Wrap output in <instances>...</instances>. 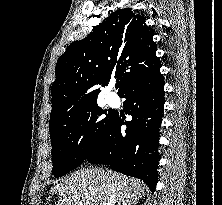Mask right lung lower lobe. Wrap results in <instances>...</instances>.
Segmentation results:
<instances>
[{
    "instance_id": "right-lung-lower-lobe-1",
    "label": "right lung lower lobe",
    "mask_w": 222,
    "mask_h": 205,
    "mask_svg": "<svg viewBox=\"0 0 222 205\" xmlns=\"http://www.w3.org/2000/svg\"><path fill=\"white\" fill-rule=\"evenodd\" d=\"M124 111L132 120L124 122L117 113L96 140L85 161L105 164L122 174L141 179L152 192L158 175V139L164 106V79L160 68L138 79L119 94ZM126 125L125 131L121 126Z\"/></svg>"
}]
</instances>
